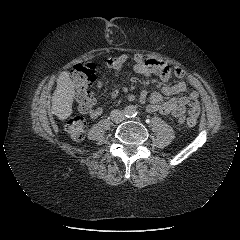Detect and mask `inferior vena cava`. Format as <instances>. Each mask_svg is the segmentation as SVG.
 Instances as JSON below:
<instances>
[{
	"mask_svg": "<svg viewBox=\"0 0 240 240\" xmlns=\"http://www.w3.org/2000/svg\"><path fill=\"white\" fill-rule=\"evenodd\" d=\"M110 117H111V120L115 123L122 122L125 119L124 113L117 109L113 110L110 113Z\"/></svg>",
	"mask_w": 240,
	"mask_h": 240,
	"instance_id": "inferior-vena-cava-1",
	"label": "inferior vena cava"
}]
</instances>
